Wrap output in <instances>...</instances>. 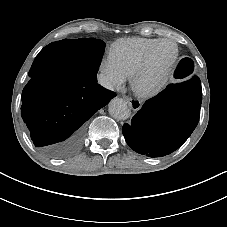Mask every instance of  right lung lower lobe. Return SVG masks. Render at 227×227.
Masks as SVG:
<instances>
[{"instance_id":"obj_1","label":"right lung lower lobe","mask_w":227,"mask_h":227,"mask_svg":"<svg viewBox=\"0 0 227 227\" xmlns=\"http://www.w3.org/2000/svg\"><path fill=\"white\" fill-rule=\"evenodd\" d=\"M72 39L52 42L32 67L45 74L31 77L22 92L21 116L43 154L64 158L82 144L83 124L116 96L97 83L96 75L74 73L65 65Z\"/></svg>"}]
</instances>
